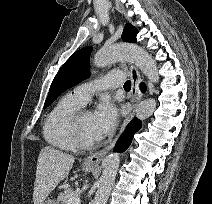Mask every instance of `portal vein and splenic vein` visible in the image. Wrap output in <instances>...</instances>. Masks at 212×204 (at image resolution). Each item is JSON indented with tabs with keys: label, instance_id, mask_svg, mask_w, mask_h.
Returning <instances> with one entry per match:
<instances>
[{
	"label": "portal vein and splenic vein",
	"instance_id": "18ae733b",
	"mask_svg": "<svg viewBox=\"0 0 212 204\" xmlns=\"http://www.w3.org/2000/svg\"><path fill=\"white\" fill-rule=\"evenodd\" d=\"M67 204H81V200L79 197L70 198Z\"/></svg>",
	"mask_w": 212,
	"mask_h": 204
}]
</instances>
